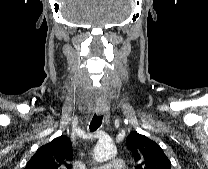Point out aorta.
<instances>
[{
  "label": "aorta",
  "mask_w": 208,
  "mask_h": 169,
  "mask_svg": "<svg viewBox=\"0 0 208 169\" xmlns=\"http://www.w3.org/2000/svg\"><path fill=\"white\" fill-rule=\"evenodd\" d=\"M117 154L116 147L110 143H98L94 149V158L97 162H104L111 160Z\"/></svg>",
  "instance_id": "1"
}]
</instances>
